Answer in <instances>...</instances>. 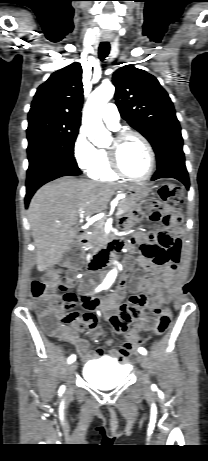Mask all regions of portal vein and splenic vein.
I'll use <instances>...</instances> for the list:
<instances>
[{"mask_svg":"<svg viewBox=\"0 0 208 461\" xmlns=\"http://www.w3.org/2000/svg\"><path fill=\"white\" fill-rule=\"evenodd\" d=\"M124 213V211L122 209H118L117 212H116V216H120ZM80 215H83V212H81Z\"/></svg>","mask_w":208,"mask_h":461,"instance_id":"obj_1","label":"portal vein and splenic vein"}]
</instances>
